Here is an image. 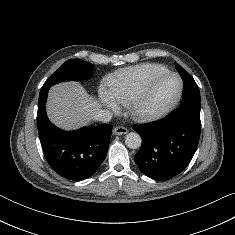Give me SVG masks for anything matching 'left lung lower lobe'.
<instances>
[{"label":"left lung lower lobe","instance_id":"1","mask_svg":"<svg viewBox=\"0 0 235 235\" xmlns=\"http://www.w3.org/2000/svg\"><path fill=\"white\" fill-rule=\"evenodd\" d=\"M183 83L191 91V82ZM200 109L201 104L183 103L161 120L133 126L142 138L134 161L146 176L165 181L188 166L199 142Z\"/></svg>","mask_w":235,"mask_h":235}]
</instances>
